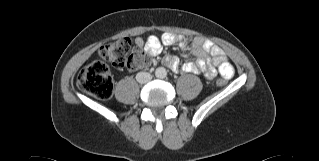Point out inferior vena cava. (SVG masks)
Instances as JSON below:
<instances>
[{
  "label": "inferior vena cava",
  "instance_id": "obj_1",
  "mask_svg": "<svg viewBox=\"0 0 319 161\" xmlns=\"http://www.w3.org/2000/svg\"><path fill=\"white\" fill-rule=\"evenodd\" d=\"M151 79H152V75L150 73H147V72H139L136 75L137 82H139L141 84L147 83V82L151 81Z\"/></svg>",
  "mask_w": 319,
  "mask_h": 161
}]
</instances>
